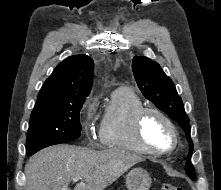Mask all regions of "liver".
<instances>
[{
  "label": "liver",
  "instance_id": "1",
  "mask_svg": "<svg viewBox=\"0 0 221 190\" xmlns=\"http://www.w3.org/2000/svg\"><path fill=\"white\" fill-rule=\"evenodd\" d=\"M142 157L123 149L90 150L73 145H56L33 155L25 166L26 190H103Z\"/></svg>",
  "mask_w": 221,
  "mask_h": 190
}]
</instances>
